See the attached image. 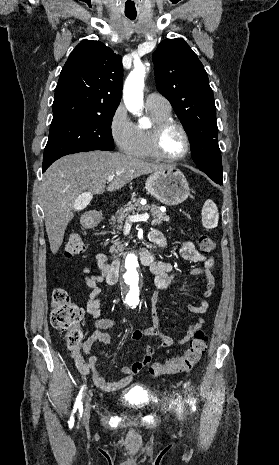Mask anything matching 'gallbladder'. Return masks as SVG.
<instances>
[{
	"label": "gallbladder",
	"mask_w": 279,
	"mask_h": 465,
	"mask_svg": "<svg viewBox=\"0 0 279 465\" xmlns=\"http://www.w3.org/2000/svg\"><path fill=\"white\" fill-rule=\"evenodd\" d=\"M74 206L77 210H81L85 207V203H84V199L79 197L75 203H74Z\"/></svg>",
	"instance_id": "gallbladder-1"
}]
</instances>
